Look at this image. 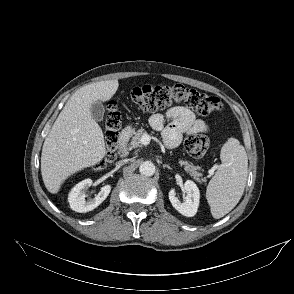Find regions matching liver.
<instances>
[{
    "mask_svg": "<svg viewBox=\"0 0 294 294\" xmlns=\"http://www.w3.org/2000/svg\"><path fill=\"white\" fill-rule=\"evenodd\" d=\"M118 86V80L83 86L60 112L41 154L42 179L50 193L56 194L69 176L94 166L106 155L102 129L92 118L90 108L98 100L111 99Z\"/></svg>",
    "mask_w": 294,
    "mask_h": 294,
    "instance_id": "6515ba94",
    "label": "liver"
}]
</instances>
